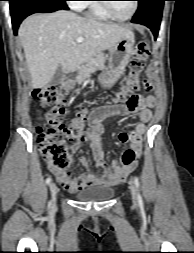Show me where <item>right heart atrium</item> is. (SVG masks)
I'll list each match as a JSON object with an SVG mask.
<instances>
[{"label":"right heart atrium","instance_id":"right-heart-atrium-1","mask_svg":"<svg viewBox=\"0 0 194 253\" xmlns=\"http://www.w3.org/2000/svg\"><path fill=\"white\" fill-rule=\"evenodd\" d=\"M70 6L74 9V10H82L85 8L86 6V2L85 0H71L70 1Z\"/></svg>","mask_w":194,"mask_h":253}]
</instances>
